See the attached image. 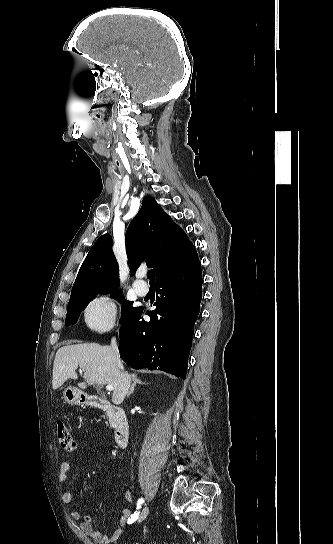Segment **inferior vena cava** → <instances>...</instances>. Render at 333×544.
<instances>
[{"label": "inferior vena cava", "instance_id": "obj_1", "mask_svg": "<svg viewBox=\"0 0 333 544\" xmlns=\"http://www.w3.org/2000/svg\"><path fill=\"white\" fill-rule=\"evenodd\" d=\"M111 348L115 351L116 356H117V360H118V362L120 363L119 351H118V346H117V343H116V339H115V338H112V339H111Z\"/></svg>", "mask_w": 333, "mask_h": 544}]
</instances>
